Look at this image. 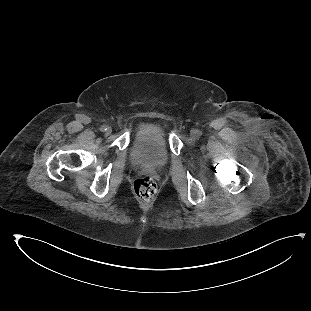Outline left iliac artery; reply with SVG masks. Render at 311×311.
<instances>
[{
	"label": "left iliac artery",
	"mask_w": 311,
	"mask_h": 311,
	"mask_svg": "<svg viewBox=\"0 0 311 311\" xmlns=\"http://www.w3.org/2000/svg\"><path fill=\"white\" fill-rule=\"evenodd\" d=\"M197 134H198V135H201L202 133H201L200 131H197Z\"/></svg>",
	"instance_id": "1"
}]
</instances>
